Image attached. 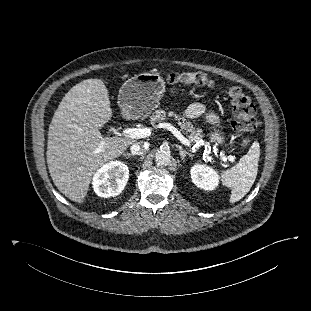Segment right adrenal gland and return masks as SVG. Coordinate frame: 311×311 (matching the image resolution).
I'll return each mask as SVG.
<instances>
[{
  "label": "right adrenal gland",
  "instance_id": "2a0ac1e0",
  "mask_svg": "<svg viewBox=\"0 0 311 311\" xmlns=\"http://www.w3.org/2000/svg\"><path fill=\"white\" fill-rule=\"evenodd\" d=\"M123 155L126 157H134L135 156L134 154H130V153H124Z\"/></svg>",
  "mask_w": 311,
  "mask_h": 311
}]
</instances>
